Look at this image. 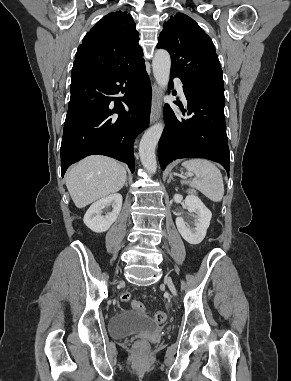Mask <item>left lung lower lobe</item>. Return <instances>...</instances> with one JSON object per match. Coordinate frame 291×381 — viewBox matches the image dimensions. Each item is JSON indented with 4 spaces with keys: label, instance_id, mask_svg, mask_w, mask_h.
Masks as SVG:
<instances>
[{
    "label": "left lung lower lobe",
    "instance_id": "left-lung-lower-lobe-1",
    "mask_svg": "<svg viewBox=\"0 0 291 381\" xmlns=\"http://www.w3.org/2000/svg\"><path fill=\"white\" fill-rule=\"evenodd\" d=\"M183 91L188 109L181 110L186 118L176 117L169 106L165 107L166 126L158 145L162 169L178 158L200 157L220 163L229 176L224 93L199 91L185 84Z\"/></svg>",
    "mask_w": 291,
    "mask_h": 381
}]
</instances>
